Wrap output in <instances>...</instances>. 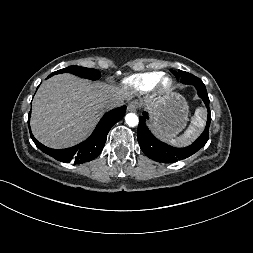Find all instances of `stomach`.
<instances>
[{
  "instance_id": "stomach-1",
  "label": "stomach",
  "mask_w": 253,
  "mask_h": 253,
  "mask_svg": "<svg viewBox=\"0 0 253 253\" xmlns=\"http://www.w3.org/2000/svg\"><path fill=\"white\" fill-rule=\"evenodd\" d=\"M148 108L152 111L153 129L160 135L175 137L187 124L189 107L185 98L178 93H169Z\"/></svg>"
}]
</instances>
